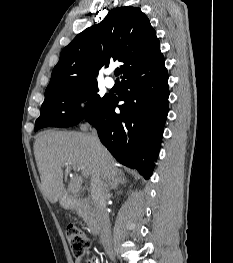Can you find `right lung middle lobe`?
Wrapping results in <instances>:
<instances>
[{
    "mask_svg": "<svg viewBox=\"0 0 233 263\" xmlns=\"http://www.w3.org/2000/svg\"><path fill=\"white\" fill-rule=\"evenodd\" d=\"M97 91V84H94L45 97L34 130L48 126L70 127L78 124L108 99L107 95L101 98L96 94ZM84 101L87 103L82 108L80 104Z\"/></svg>",
    "mask_w": 233,
    "mask_h": 263,
    "instance_id": "dd1d6c3e",
    "label": "right lung middle lobe"
}]
</instances>
